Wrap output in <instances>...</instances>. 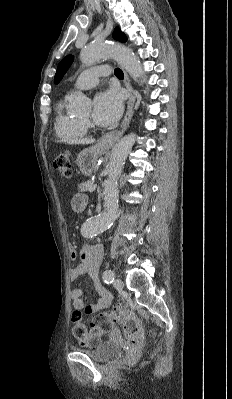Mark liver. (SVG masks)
<instances>
[{
	"label": "liver",
	"mask_w": 232,
	"mask_h": 399,
	"mask_svg": "<svg viewBox=\"0 0 232 399\" xmlns=\"http://www.w3.org/2000/svg\"><path fill=\"white\" fill-rule=\"evenodd\" d=\"M93 140H87V138H83V140H71V142H68V144H92Z\"/></svg>",
	"instance_id": "obj_1"
}]
</instances>
